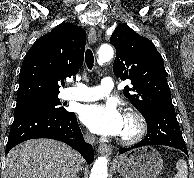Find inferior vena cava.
<instances>
[{
  "instance_id": "obj_1",
  "label": "inferior vena cava",
  "mask_w": 194,
  "mask_h": 178,
  "mask_svg": "<svg viewBox=\"0 0 194 178\" xmlns=\"http://www.w3.org/2000/svg\"><path fill=\"white\" fill-rule=\"evenodd\" d=\"M85 140L91 144H94L95 143V137L92 135H89V134H86L84 136Z\"/></svg>"
}]
</instances>
